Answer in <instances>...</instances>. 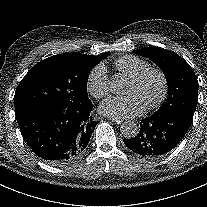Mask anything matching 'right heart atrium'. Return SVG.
<instances>
[{"label": "right heart atrium", "instance_id": "obj_1", "mask_svg": "<svg viewBox=\"0 0 207 207\" xmlns=\"http://www.w3.org/2000/svg\"><path fill=\"white\" fill-rule=\"evenodd\" d=\"M86 86L89 93L96 99H102L109 94L110 82L105 64H98L90 70Z\"/></svg>", "mask_w": 207, "mask_h": 207}]
</instances>
